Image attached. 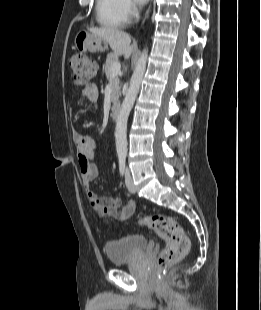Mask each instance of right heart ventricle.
Returning a JSON list of instances; mask_svg holds the SVG:
<instances>
[{
  "instance_id": "e07e8e85",
  "label": "right heart ventricle",
  "mask_w": 261,
  "mask_h": 310,
  "mask_svg": "<svg viewBox=\"0 0 261 310\" xmlns=\"http://www.w3.org/2000/svg\"><path fill=\"white\" fill-rule=\"evenodd\" d=\"M95 14L98 24L105 28H122L127 23L121 0H96Z\"/></svg>"
}]
</instances>
